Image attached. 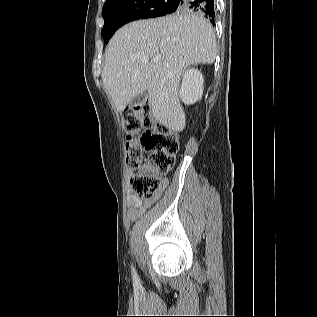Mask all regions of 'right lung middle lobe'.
<instances>
[{
	"instance_id": "obj_1",
	"label": "right lung middle lobe",
	"mask_w": 317,
	"mask_h": 317,
	"mask_svg": "<svg viewBox=\"0 0 317 317\" xmlns=\"http://www.w3.org/2000/svg\"><path fill=\"white\" fill-rule=\"evenodd\" d=\"M174 0H107L102 9L105 24L102 37L105 43L124 24L146 18L165 16L177 10ZM180 11V10H177Z\"/></svg>"
}]
</instances>
